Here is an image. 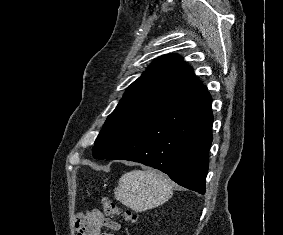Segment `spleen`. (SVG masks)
<instances>
[{
	"label": "spleen",
	"mask_w": 283,
	"mask_h": 235,
	"mask_svg": "<svg viewBox=\"0 0 283 235\" xmlns=\"http://www.w3.org/2000/svg\"><path fill=\"white\" fill-rule=\"evenodd\" d=\"M173 182L156 171L132 170L124 174L115 189V198L136 212L156 208L173 194Z\"/></svg>",
	"instance_id": "3e777b00"
}]
</instances>
